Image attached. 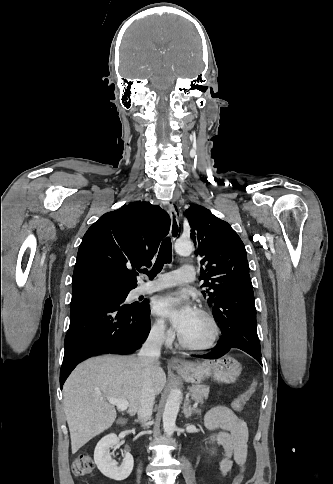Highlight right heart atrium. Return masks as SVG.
Segmentation results:
<instances>
[{
  "label": "right heart atrium",
  "instance_id": "1",
  "mask_svg": "<svg viewBox=\"0 0 333 484\" xmlns=\"http://www.w3.org/2000/svg\"><path fill=\"white\" fill-rule=\"evenodd\" d=\"M151 336L158 342L166 343L170 340L171 332L162 319H156L151 327Z\"/></svg>",
  "mask_w": 333,
  "mask_h": 484
}]
</instances>
